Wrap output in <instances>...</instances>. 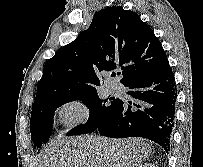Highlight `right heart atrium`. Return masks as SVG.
<instances>
[{
    "label": "right heart atrium",
    "mask_w": 203,
    "mask_h": 167,
    "mask_svg": "<svg viewBox=\"0 0 203 167\" xmlns=\"http://www.w3.org/2000/svg\"><path fill=\"white\" fill-rule=\"evenodd\" d=\"M58 114L66 128H76L87 121L90 115V105L84 99H72L59 107Z\"/></svg>",
    "instance_id": "d8ad5b80"
}]
</instances>
